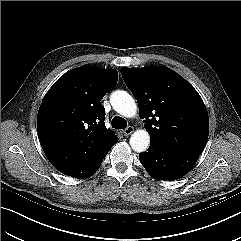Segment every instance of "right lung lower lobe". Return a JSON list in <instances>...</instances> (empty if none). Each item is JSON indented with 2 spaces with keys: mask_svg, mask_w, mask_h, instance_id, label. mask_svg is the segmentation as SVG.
<instances>
[{
  "mask_svg": "<svg viewBox=\"0 0 241 241\" xmlns=\"http://www.w3.org/2000/svg\"><path fill=\"white\" fill-rule=\"evenodd\" d=\"M108 151H106L105 153H103L102 155H100L99 157L90 161L87 164H84L82 166L70 169V170H68L66 172H63V173L68 175V176L77 177V178L90 177L91 175H93L98 170L101 162L105 158Z\"/></svg>",
  "mask_w": 241,
  "mask_h": 241,
  "instance_id": "obj_1",
  "label": "right lung lower lobe"
}]
</instances>
